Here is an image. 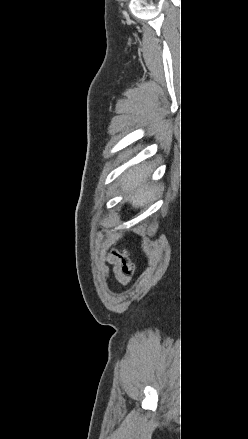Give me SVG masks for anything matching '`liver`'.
<instances>
[{"label": "liver", "mask_w": 248, "mask_h": 439, "mask_svg": "<svg viewBox=\"0 0 248 439\" xmlns=\"http://www.w3.org/2000/svg\"><path fill=\"white\" fill-rule=\"evenodd\" d=\"M152 166L147 163L129 169L120 177V186L127 196L125 201L134 208L142 207L156 196L157 188L147 182L152 173Z\"/></svg>", "instance_id": "liver-1"}]
</instances>
